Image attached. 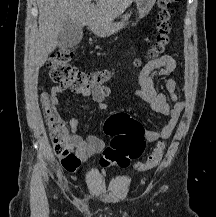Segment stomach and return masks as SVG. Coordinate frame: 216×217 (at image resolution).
<instances>
[{
  "label": "stomach",
  "instance_id": "0dacf381",
  "mask_svg": "<svg viewBox=\"0 0 216 217\" xmlns=\"http://www.w3.org/2000/svg\"><path fill=\"white\" fill-rule=\"evenodd\" d=\"M139 18L145 17L154 6L156 0H135ZM125 23L110 24L105 26L94 27L93 32L101 37H106L114 34L119 29L123 28Z\"/></svg>",
  "mask_w": 216,
  "mask_h": 217
}]
</instances>
